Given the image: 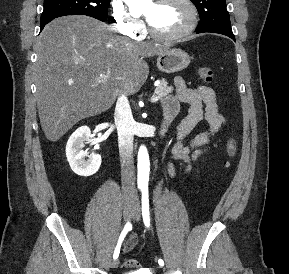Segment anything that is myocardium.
<instances>
[{"label": "myocardium", "instance_id": "f54148a6", "mask_svg": "<svg viewBox=\"0 0 289 274\" xmlns=\"http://www.w3.org/2000/svg\"><path fill=\"white\" fill-rule=\"evenodd\" d=\"M169 0H156V4H161L168 2ZM189 10V22L188 24L179 32L173 34H162L157 32L148 22L146 21V28L149 35L157 40L160 41H178L184 39L185 37L189 36L197 26L199 13L196 4L193 0H181Z\"/></svg>", "mask_w": 289, "mask_h": 274}]
</instances>
